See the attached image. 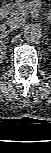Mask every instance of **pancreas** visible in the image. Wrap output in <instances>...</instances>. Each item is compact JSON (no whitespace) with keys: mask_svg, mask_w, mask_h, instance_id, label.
Here are the masks:
<instances>
[{"mask_svg":"<svg viewBox=\"0 0 51 153\" xmlns=\"http://www.w3.org/2000/svg\"><path fill=\"white\" fill-rule=\"evenodd\" d=\"M8 11L11 16L25 17L28 14L27 4L24 0H17L16 3L8 5Z\"/></svg>","mask_w":51,"mask_h":153,"instance_id":"cf45deb5","label":"pancreas"}]
</instances>
